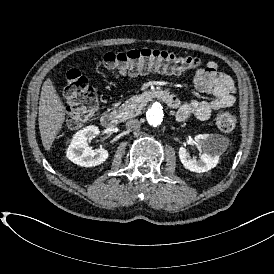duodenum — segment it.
Returning a JSON list of instances; mask_svg holds the SVG:
<instances>
[{"mask_svg":"<svg viewBox=\"0 0 274 274\" xmlns=\"http://www.w3.org/2000/svg\"><path fill=\"white\" fill-rule=\"evenodd\" d=\"M142 101H149L152 99H159L165 102L171 109L179 107L178 97L170 91L164 89H154L145 91L139 96ZM119 116L113 112H105L101 116V124L105 129L115 130L119 126Z\"/></svg>","mask_w":274,"mask_h":274,"instance_id":"duodenum-1","label":"duodenum"}]
</instances>
